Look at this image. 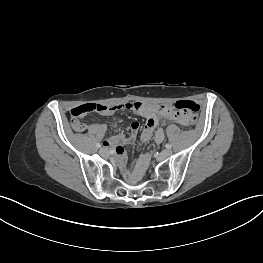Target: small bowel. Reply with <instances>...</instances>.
Returning <instances> with one entry per match:
<instances>
[{"mask_svg": "<svg viewBox=\"0 0 263 263\" xmlns=\"http://www.w3.org/2000/svg\"><path fill=\"white\" fill-rule=\"evenodd\" d=\"M105 109L99 113L103 115H111L120 110H130L137 115L146 119L142 131V140L148 142L152 137L157 143H160L164 139V132L162 129L158 128L159 122L161 119H173L175 122L182 126H188L190 124V117L187 113L175 112L168 105L158 106L149 103H143L138 101L127 102L119 105L105 106L102 105ZM106 125H100V131L106 130ZM140 128V123L134 121L130 125V134L124 136L121 134L111 135L105 142L104 145L113 150L116 157L119 159L121 164H124L126 161L125 157V145L134 142L136 139L138 130ZM85 129V125H84ZM149 164V156L143 155L136 168V175L141 176L146 171Z\"/></svg>", "mask_w": 263, "mask_h": 263, "instance_id": "obj_1", "label": "small bowel"}]
</instances>
